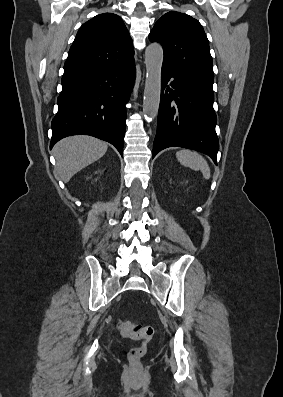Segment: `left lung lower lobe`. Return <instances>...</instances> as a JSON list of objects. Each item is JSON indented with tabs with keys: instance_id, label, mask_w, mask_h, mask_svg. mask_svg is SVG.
I'll list each match as a JSON object with an SVG mask.
<instances>
[{
	"instance_id": "0a47b994",
	"label": "left lung lower lobe",
	"mask_w": 283,
	"mask_h": 397,
	"mask_svg": "<svg viewBox=\"0 0 283 397\" xmlns=\"http://www.w3.org/2000/svg\"><path fill=\"white\" fill-rule=\"evenodd\" d=\"M213 102L212 88L163 62L152 158L165 148L178 146L205 153L217 165L219 141Z\"/></svg>"
}]
</instances>
